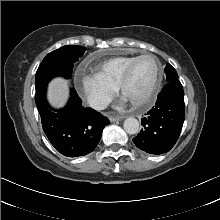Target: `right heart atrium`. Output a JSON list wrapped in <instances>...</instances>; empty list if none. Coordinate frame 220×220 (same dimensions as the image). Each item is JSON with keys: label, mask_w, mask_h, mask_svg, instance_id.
<instances>
[{"label": "right heart atrium", "mask_w": 220, "mask_h": 220, "mask_svg": "<svg viewBox=\"0 0 220 220\" xmlns=\"http://www.w3.org/2000/svg\"><path fill=\"white\" fill-rule=\"evenodd\" d=\"M76 85L80 95L95 110H102L112 101L116 88L96 74H79Z\"/></svg>", "instance_id": "obj_1"}]
</instances>
